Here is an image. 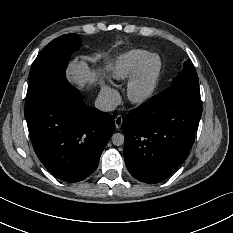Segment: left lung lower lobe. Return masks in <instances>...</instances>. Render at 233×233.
Instances as JSON below:
<instances>
[{"label":"left lung lower lobe","mask_w":233,"mask_h":233,"mask_svg":"<svg viewBox=\"0 0 233 233\" xmlns=\"http://www.w3.org/2000/svg\"><path fill=\"white\" fill-rule=\"evenodd\" d=\"M199 101L152 97L124 118V159L136 179L155 184L168 178L194 143Z\"/></svg>","instance_id":"0a47b994"}]
</instances>
